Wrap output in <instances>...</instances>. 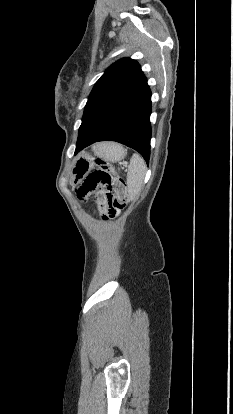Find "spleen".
I'll list each match as a JSON object with an SVG mask.
<instances>
[{"instance_id": "obj_1", "label": "spleen", "mask_w": 233, "mask_h": 414, "mask_svg": "<svg viewBox=\"0 0 233 414\" xmlns=\"http://www.w3.org/2000/svg\"><path fill=\"white\" fill-rule=\"evenodd\" d=\"M145 174L146 164L144 160L138 154H133L127 173L128 195L131 200L139 197Z\"/></svg>"}]
</instances>
